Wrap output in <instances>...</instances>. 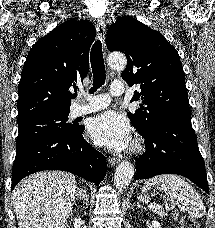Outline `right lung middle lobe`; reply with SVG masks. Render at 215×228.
Returning <instances> with one entry per match:
<instances>
[{
    "label": "right lung middle lobe",
    "instance_id": "right-lung-middle-lobe-1",
    "mask_svg": "<svg viewBox=\"0 0 215 228\" xmlns=\"http://www.w3.org/2000/svg\"><path fill=\"white\" fill-rule=\"evenodd\" d=\"M68 115L69 112L49 114L18 122L16 144L48 133L75 134L81 127L67 123Z\"/></svg>",
    "mask_w": 215,
    "mask_h": 228
}]
</instances>
